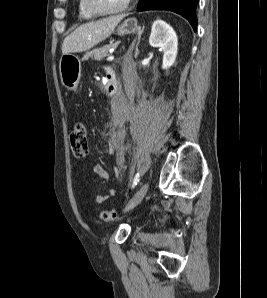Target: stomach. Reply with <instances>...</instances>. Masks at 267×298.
Listing matches in <instances>:
<instances>
[{
  "instance_id": "0dacf381",
  "label": "stomach",
  "mask_w": 267,
  "mask_h": 298,
  "mask_svg": "<svg viewBox=\"0 0 267 298\" xmlns=\"http://www.w3.org/2000/svg\"><path fill=\"white\" fill-rule=\"evenodd\" d=\"M139 29L137 20L128 18L117 28V34L120 36L133 34L139 31ZM59 68L62 84L70 90H76L81 75L79 59L72 54H64L60 59Z\"/></svg>"
}]
</instances>
